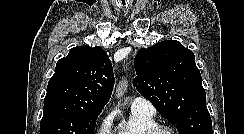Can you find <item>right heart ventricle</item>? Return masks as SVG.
I'll use <instances>...</instances> for the list:
<instances>
[{"instance_id":"right-heart-ventricle-1","label":"right heart ventricle","mask_w":244,"mask_h":134,"mask_svg":"<svg viewBox=\"0 0 244 134\" xmlns=\"http://www.w3.org/2000/svg\"><path fill=\"white\" fill-rule=\"evenodd\" d=\"M156 124L154 115L132 110L128 121L120 124L115 134H146Z\"/></svg>"}]
</instances>
